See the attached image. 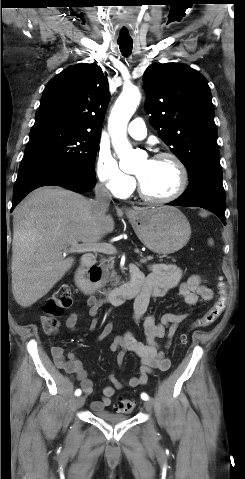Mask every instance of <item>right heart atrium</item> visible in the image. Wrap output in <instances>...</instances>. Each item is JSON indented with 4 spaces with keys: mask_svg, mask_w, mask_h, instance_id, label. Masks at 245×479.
Segmentation results:
<instances>
[{
    "mask_svg": "<svg viewBox=\"0 0 245 479\" xmlns=\"http://www.w3.org/2000/svg\"><path fill=\"white\" fill-rule=\"evenodd\" d=\"M97 179L112 196L123 198L134 188L135 180L121 170L117 160L105 147H100L96 157Z\"/></svg>",
    "mask_w": 245,
    "mask_h": 479,
    "instance_id": "1",
    "label": "right heart atrium"
}]
</instances>
